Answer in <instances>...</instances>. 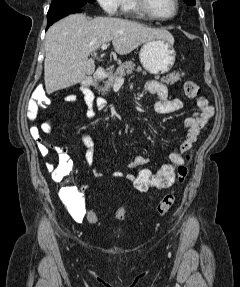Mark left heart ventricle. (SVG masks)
<instances>
[{"mask_svg":"<svg viewBox=\"0 0 240 287\" xmlns=\"http://www.w3.org/2000/svg\"><path fill=\"white\" fill-rule=\"evenodd\" d=\"M148 3L158 16H169L174 12V0H148Z\"/></svg>","mask_w":240,"mask_h":287,"instance_id":"obj_1","label":"left heart ventricle"}]
</instances>
